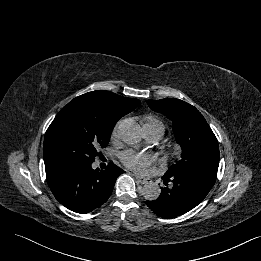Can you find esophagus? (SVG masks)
Masks as SVG:
<instances>
[{
	"mask_svg": "<svg viewBox=\"0 0 261 261\" xmlns=\"http://www.w3.org/2000/svg\"><path fill=\"white\" fill-rule=\"evenodd\" d=\"M135 178H136L137 182H139L141 184H147V183L151 182V180L149 178L142 177L139 175H135Z\"/></svg>",
	"mask_w": 261,
	"mask_h": 261,
	"instance_id": "obj_1",
	"label": "esophagus"
}]
</instances>
